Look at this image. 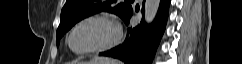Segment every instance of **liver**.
Instances as JSON below:
<instances>
[{
  "label": "liver",
  "instance_id": "obj_1",
  "mask_svg": "<svg viewBox=\"0 0 242 64\" xmlns=\"http://www.w3.org/2000/svg\"><path fill=\"white\" fill-rule=\"evenodd\" d=\"M96 61H101L103 63L117 64L116 61H113V60L108 59V58H96V59L93 60V62H96Z\"/></svg>",
  "mask_w": 242,
  "mask_h": 64
}]
</instances>
